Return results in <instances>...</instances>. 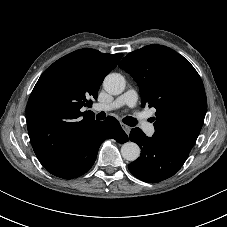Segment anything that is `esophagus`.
I'll use <instances>...</instances> for the list:
<instances>
[{
	"label": "esophagus",
	"mask_w": 227,
	"mask_h": 227,
	"mask_svg": "<svg viewBox=\"0 0 227 227\" xmlns=\"http://www.w3.org/2000/svg\"><path fill=\"white\" fill-rule=\"evenodd\" d=\"M121 126L123 130L126 132V134L129 135L131 128L124 123H121Z\"/></svg>",
	"instance_id": "obj_1"
}]
</instances>
